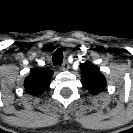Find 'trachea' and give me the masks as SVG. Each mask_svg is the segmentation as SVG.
Segmentation results:
<instances>
[{
  "instance_id": "3493384b",
  "label": "trachea",
  "mask_w": 133,
  "mask_h": 133,
  "mask_svg": "<svg viewBox=\"0 0 133 133\" xmlns=\"http://www.w3.org/2000/svg\"><path fill=\"white\" fill-rule=\"evenodd\" d=\"M52 61L54 65H61L63 62V53L60 49L56 50L52 55Z\"/></svg>"
}]
</instances>
